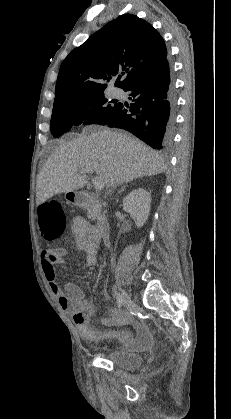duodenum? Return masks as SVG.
Returning <instances> with one entry per match:
<instances>
[{
	"label": "duodenum",
	"instance_id": "1",
	"mask_svg": "<svg viewBox=\"0 0 231 419\" xmlns=\"http://www.w3.org/2000/svg\"><path fill=\"white\" fill-rule=\"evenodd\" d=\"M75 202L79 207H94L99 208L98 199L90 193H77L75 196ZM98 235L104 241L109 239L110 223L106 217L100 215L97 220Z\"/></svg>",
	"mask_w": 231,
	"mask_h": 419
}]
</instances>
